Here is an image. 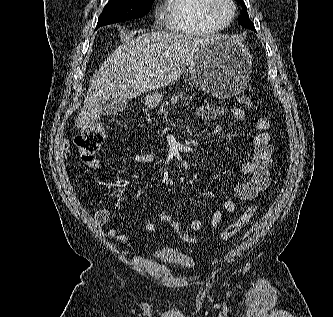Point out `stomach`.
Wrapping results in <instances>:
<instances>
[{"mask_svg":"<svg viewBox=\"0 0 333 317\" xmlns=\"http://www.w3.org/2000/svg\"><path fill=\"white\" fill-rule=\"evenodd\" d=\"M252 55L238 40L216 36L206 41L189 63V73L195 84L213 97L226 99L240 94L249 83ZM162 94L151 93L145 105L155 108Z\"/></svg>","mask_w":333,"mask_h":317,"instance_id":"0dacf381","label":"stomach"}]
</instances>
